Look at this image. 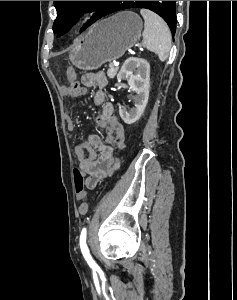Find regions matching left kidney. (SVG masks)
<instances>
[{
    "label": "left kidney",
    "instance_id": "5707ae66",
    "mask_svg": "<svg viewBox=\"0 0 237 300\" xmlns=\"http://www.w3.org/2000/svg\"><path fill=\"white\" fill-rule=\"evenodd\" d=\"M135 73V75H134ZM126 79L130 85L131 91L136 93L135 105L130 111L119 109V115L127 125H132L139 121L149 99V81H150V65L145 59H137V57H129L123 63L118 75L117 81Z\"/></svg>",
    "mask_w": 237,
    "mask_h": 300
}]
</instances>
